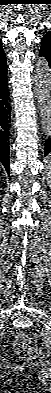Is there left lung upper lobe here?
Instances as JSON below:
<instances>
[{"instance_id": "left-lung-upper-lobe-1", "label": "left lung upper lobe", "mask_w": 51, "mask_h": 393, "mask_svg": "<svg viewBox=\"0 0 51 393\" xmlns=\"http://www.w3.org/2000/svg\"><path fill=\"white\" fill-rule=\"evenodd\" d=\"M40 52L44 53L51 59V31L47 32L41 40Z\"/></svg>"}]
</instances>
